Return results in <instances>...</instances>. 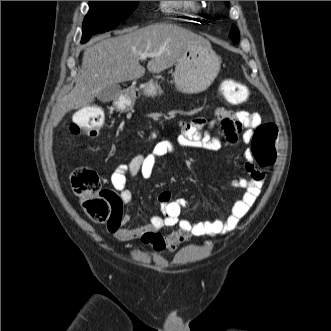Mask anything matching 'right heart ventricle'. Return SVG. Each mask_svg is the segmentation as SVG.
I'll use <instances>...</instances> for the list:
<instances>
[{
	"label": "right heart ventricle",
	"mask_w": 331,
	"mask_h": 331,
	"mask_svg": "<svg viewBox=\"0 0 331 331\" xmlns=\"http://www.w3.org/2000/svg\"><path fill=\"white\" fill-rule=\"evenodd\" d=\"M161 8L166 12L184 10L190 14L197 13L200 8L197 1H160Z\"/></svg>",
	"instance_id": "right-heart-ventricle-1"
}]
</instances>
